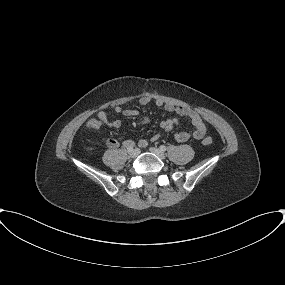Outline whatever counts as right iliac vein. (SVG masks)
Returning a JSON list of instances; mask_svg holds the SVG:
<instances>
[{
    "instance_id": "1",
    "label": "right iliac vein",
    "mask_w": 285,
    "mask_h": 285,
    "mask_svg": "<svg viewBox=\"0 0 285 285\" xmlns=\"http://www.w3.org/2000/svg\"><path fill=\"white\" fill-rule=\"evenodd\" d=\"M139 154H140V150L137 148L129 152V155L131 158H136Z\"/></svg>"
}]
</instances>
